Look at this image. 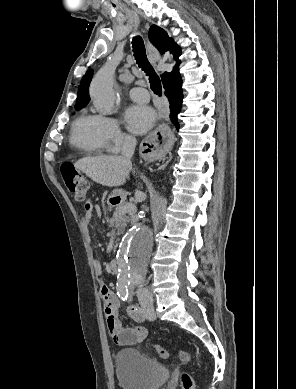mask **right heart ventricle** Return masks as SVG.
Masks as SVG:
<instances>
[{"label": "right heart ventricle", "instance_id": "obj_1", "mask_svg": "<svg viewBox=\"0 0 296 389\" xmlns=\"http://www.w3.org/2000/svg\"><path fill=\"white\" fill-rule=\"evenodd\" d=\"M104 117L97 114H82L74 122L70 142L76 148L89 154L108 151L104 134Z\"/></svg>", "mask_w": 296, "mask_h": 389}]
</instances>
